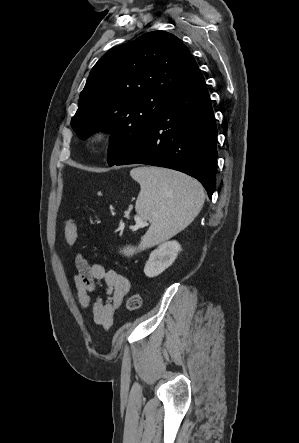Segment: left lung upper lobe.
<instances>
[{
  "label": "left lung upper lobe",
  "instance_id": "left-lung-upper-lobe-1",
  "mask_svg": "<svg viewBox=\"0 0 299 443\" xmlns=\"http://www.w3.org/2000/svg\"><path fill=\"white\" fill-rule=\"evenodd\" d=\"M197 69L182 41L165 31L112 48L92 68L71 126L82 140L98 131L111 133L107 161L112 166Z\"/></svg>",
  "mask_w": 299,
  "mask_h": 443
}]
</instances>
